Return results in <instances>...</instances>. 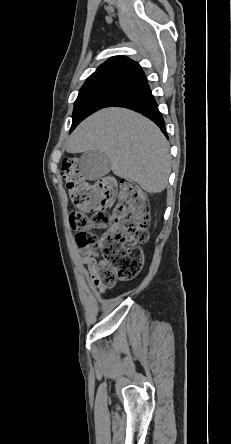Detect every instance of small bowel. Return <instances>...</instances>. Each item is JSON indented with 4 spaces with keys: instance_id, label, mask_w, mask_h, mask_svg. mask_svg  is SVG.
<instances>
[{
    "instance_id": "c3829d8e",
    "label": "small bowel",
    "mask_w": 231,
    "mask_h": 444,
    "mask_svg": "<svg viewBox=\"0 0 231 444\" xmlns=\"http://www.w3.org/2000/svg\"><path fill=\"white\" fill-rule=\"evenodd\" d=\"M76 239L78 244L80 245L79 234H77ZM80 264L86 267L85 276L91 281L94 288L103 290V288L99 283V276L101 270L105 268V262L94 253H91L88 250L83 249L81 252Z\"/></svg>"
}]
</instances>
